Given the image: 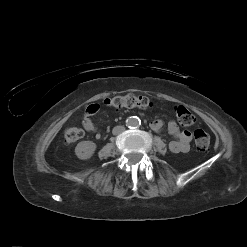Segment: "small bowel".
I'll return each mask as SVG.
<instances>
[{
	"mask_svg": "<svg viewBox=\"0 0 247 247\" xmlns=\"http://www.w3.org/2000/svg\"><path fill=\"white\" fill-rule=\"evenodd\" d=\"M99 111L98 104H90L85 111V115L82 120V125L87 132L95 134L96 138H100L97 126L92 120V116ZM164 123L160 119L153 120L150 123V127L153 131L159 132L162 130ZM168 132L174 137V140L170 141L169 149L173 153H186L190 149V143L192 140V133L188 130H180L177 123L173 120L167 124Z\"/></svg>",
	"mask_w": 247,
	"mask_h": 247,
	"instance_id": "small-bowel-1",
	"label": "small bowel"
}]
</instances>
